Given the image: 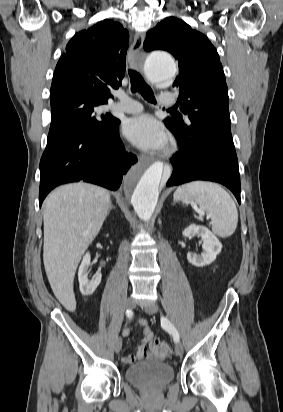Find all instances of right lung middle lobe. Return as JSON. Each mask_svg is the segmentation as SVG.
Instances as JSON below:
<instances>
[{
  "label": "right lung middle lobe",
  "instance_id": "right-lung-middle-lobe-1",
  "mask_svg": "<svg viewBox=\"0 0 283 412\" xmlns=\"http://www.w3.org/2000/svg\"><path fill=\"white\" fill-rule=\"evenodd\" d=\"M102 104L81 102L71 105L64 113L51 115L48 140L60 132L72 133L81 128L102 132L110 128L117 119L100 112Z\"/></svg>",
  "mask_w": 283,
  "mask_h": 412
}]
</instances>
